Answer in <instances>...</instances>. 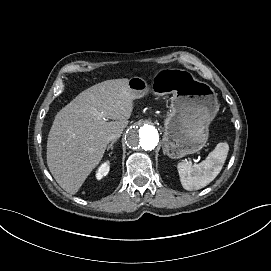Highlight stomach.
<instances>
[{
  "label": "stomach",
  "mask_w": 271,
  "mask_h": 271,
  "mask_svg": "<svg viewBox=\"0 0 271 271\" xmlns=\"http://www.w3.org/2000/svg\"><path fill=\"white\" fill-rule=\"evenodd\" d=\"M128 87L134 98L143 97L149 89L139 77L131 78ZM152 90L157 95L173 94L172 112L164 121L163 152L177 159L200 151L219 110L214 89L186 70L163 69L153 77Z\"/></svg>",
  "instance_id": "0dacf381"
}]
</instances>
